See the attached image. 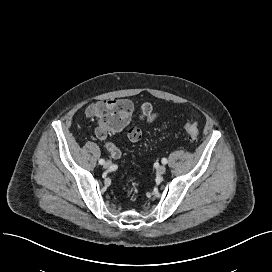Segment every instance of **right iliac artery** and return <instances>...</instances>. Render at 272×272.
<instances>
[{"mask_svg": "<svg viewBox=\"0 0 272 272\" xmlns=\"http://www.w3.org/2000/svg\"><path fill=\"white\" fill-rule=\"evenodd\" d=\"M105 163V160L104 159H100L99 160V164L103 165Z\"/></svg>", "mask_w": 272, "mask_h": 272, "instance_id": "obj_1", "label": "right iliac artery"}]
</instances>
